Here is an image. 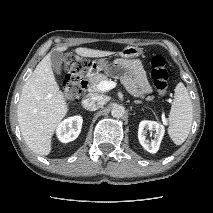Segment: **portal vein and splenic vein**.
<instances>
[{"label": "portal vein and splenic vein", "mask_w": 213, "mask_h": 213, "mask_svg": "<svg viewBox=\"0 0 213 213\" xmlns=\"http://www.w3.org/2000/svg\"><path fill=\"white\" fill-rule=\"evenodd\" d=\"M116 87L114 81H102L97 85V91L106 92Z\"/></svg>", "instance_id": "obj_1"}]
</instances>
